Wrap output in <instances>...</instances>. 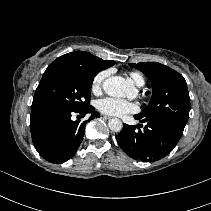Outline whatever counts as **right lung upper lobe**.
<instances>
[{
  "instance_id": "obj_1",
  "label": "right lung upper lobe",
  "mask_w": 211,
  "mask_h": 211,
  "mask_svg": "<svg viewBox=\"0 0 211 211\" xmlns=\"http://www.w3.org/2000/svg\"><path fill=\"white\" fill-rule=\"evenodd\" d=\"M54 62L72 63L81 67L96 68L100 71L109 68L115 64V61H105L85 51H76L62 55L57 58Z\"/></svg>"
}]
</instances>
